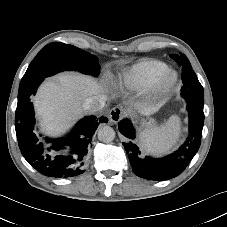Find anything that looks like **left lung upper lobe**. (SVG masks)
I'll return each instance as SVG.
<instances>
[{"instance_id":"obj_1","label":"left lung upper lobe","mask_w":227,"mask_h":227,"mask_svg":"<svg viewBox=\"0 0 227 227\" xmlns=\"http://www.w3.org/2000/svg\"><path fill=\"white\" fill-rule=\"evenodd\" d=\"M171 58H173L179 66L182 67V83L183 88L181 95L182 96H188V95H197V96H203V87L198 81V78L194 71L192 70L191 64L188 60V58L184 54H171Z\"/></svg>"}]
</instances>
